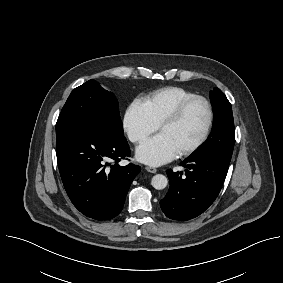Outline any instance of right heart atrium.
<instances>
[{
  "instance_id": "obj_1",
  "label": "right heart atrium",
  "mask_w": 283,
  "mask_h": 283,
  "mask_svg": "<svg viewBox=\"0 0 283 283\" xmlns=\"http://www.w3.org/2000/svg\"><path fill=\"white\" fill-rule=\"evenodd\" d=\"M158 126L149 115L143 101L134 99L127 106L123 118V127L131 142L141 143L154 133Z\"/></svg>"
}]
</instances>
